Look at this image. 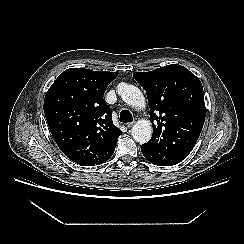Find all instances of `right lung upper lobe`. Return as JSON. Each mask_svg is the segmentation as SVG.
<instances>
[{
  "label": "right lung upper lobe",
  "mask_w": 244,
  "mask_h": 244,
  "mask_svg": "<svg viewBox=\"0 0 244 244\" xmlns=\"http://www.w3.org/2000/svg\"><path fill=\"white\" fill-rule=\"evenodd\" d=\"M116 72L70 68L46 93L44 113L62 152L82 166L107 161L122 131L112 122V110L103 100Z\"/></svg>",
  "instance_id": "cb5924a9"
}]
</instances>
